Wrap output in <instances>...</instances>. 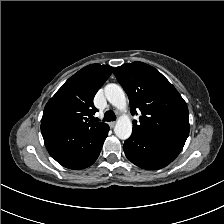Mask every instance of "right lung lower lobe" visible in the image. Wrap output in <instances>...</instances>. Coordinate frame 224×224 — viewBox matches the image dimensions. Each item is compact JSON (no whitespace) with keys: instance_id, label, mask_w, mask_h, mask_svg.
Returning a JSON list of instances; mask_svg holds the SVG:
<instances>
[{"instance_id":"obj_1","label":"right lung lower lobe","mask_w":224,"mask_h":224,"mask_svg":"<svg viewBox=\"0 0 224 224\" xmlns=\"http://www.w3.org/2000/svg\"><path fill=\"white\" fill-rule=\"evenodd\" d=\"M109 126L91 130L70 128L56 122L41 124V132L49 154L62 166L83 169L98 158Z\"/></svg>"}]
</instances>
